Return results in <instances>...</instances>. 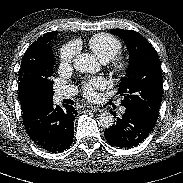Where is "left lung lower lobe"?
<instances>
[{"label": "left lung lower lobe", "mask_w": 183, "mask_h": 183, "mask_svg": "<svg viewBox=\"0 0 183 183\" xmlns=\"http://www.w3.org/2000/svg\"><path fill=\"white\" fill-rule=\"evenodd\" d=\"M157 118L133 108L126 107L122 118L104 132L112 146L130 148L141 143L152 131Z\"/></svg>", "instance_id": "left-lung-lower-lobe-1"}]
</instances>
